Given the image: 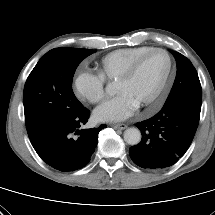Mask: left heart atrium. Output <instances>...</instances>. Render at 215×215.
Segmentation results:
<instances>
[{
    "label": "left heart atrium",
    "instance_id": "1",
    "mask_svg": "<svg viewBox=\"0 0 215 215\" xmlns=\"http://www.w3.org/2000/svg\"><path fill=\"white\" fill-rule=\"evenodd\" d=\"M138 108L137 103L126 93H119L94 111V118L100 122H119L129 118Z\"/></svg>",
    "mask_w": 215,
    "mask_h": 215
}]
</instances>
